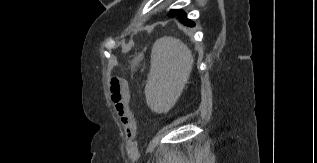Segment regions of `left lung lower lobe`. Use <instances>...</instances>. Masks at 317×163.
Wrapping results in <instances>:
<instances>
[{
  "mask_svg": "<svg viewBox=\"0 0 317 163\" xmlns=\"http://www.w3.org/2000/svg\"><path fill=\"white\" fill-rule=\"evenodd\" d=\"M175 15H178V18L184 25L189 27H193L195 25L192 20L187 19L186 15L184 14L182 10H179Z\"/></svg>",
  "mask_w": 317,
  "mask_h": 163,
  "instance_id": "0a47b994",
  "label": "left lung lower lobe"
}]
</instances>
